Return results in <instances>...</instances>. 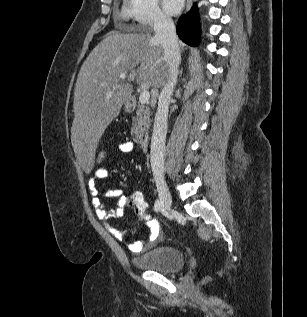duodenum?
<instances>
[{
	"mask_svg": "<svg viewBox=\"0 0 307 317\" xmlns=\"http://www.w3.org/2000/svg\"><path fill=\"white\" fill-rule=\"evenodd\" d=\"M135 104V101L133 99H131L129 102H128V105L130 107H133ZM149 142H150V139L147 135L143 136L141 139H140V145H141V148L146 151L148 148H149Z\"/></svg>",
	"mask_w": 307,
	"mask_h": 317,
	"instance_id": "410a0bca",
	"label": "duodenum"
}]
</instances>
